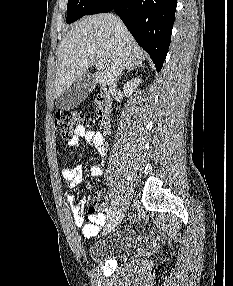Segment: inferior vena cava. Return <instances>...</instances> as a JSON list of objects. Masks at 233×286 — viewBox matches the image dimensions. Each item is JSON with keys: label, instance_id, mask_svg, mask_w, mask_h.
I'll use <instances>...</instances> for the list:
<instances>
[{"label": "inferior vena cava", "instance_id": "obj_1", "mask_svg": "<svg viewBox=\"0 0 233 286\" xmlns=\"http://www.w3.org/2000/svg\"><path fill=\"white\" fill-rule=\"evenodd\" d=\"M120 25H121V21L118 20V26H120ZM120 76H121V74L118 76V78H119ZM116 83H117V80L114 81V82L110 85V92H111V94H114L115 91H116Z\"/></svg>", "mask_w": 233, "mask_h": 286}]
</instances>
